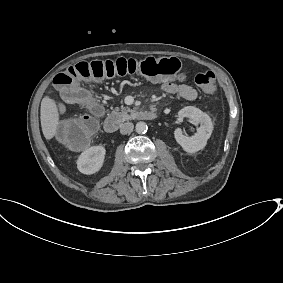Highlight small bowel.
Returning a JSON list of instances; mask_svg holds the SVG:
<instances>
[{"label":"small bowel","mask_w":283,"mask_h":283,"mask_svg":"<svg viewBox=\"0 0 283 283\" xmlns=\"http://www.w3.org/2000/svg\"><path fill=\"white\" fill-rule=\"evenodd\" d=\"M185 75L183 73L177 76L176 81H166L161 85V90L169 94H177L181 98L192 101L197 98L196 90L185 83ZM56 107L60 113L65 111V107L62 102L56 101Z\"/></svg>","instance_id":"small-bowel-1"}]
</instances>
